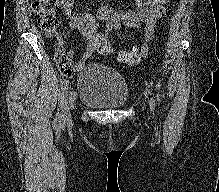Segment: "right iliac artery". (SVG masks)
I'll list each match as a JSON object with an SVG mask.
<instances>
[{"mask_svg":"<svg viewBox=\"0 0 219 192\" xmlns=\"http://www.w3.org/2000/svg\"><path fill=\"white\" fill-rule=\"evenodd\" d=\"M68 84H69V81L68 80H63L61 82V86H60V97H59V111L60 109L62 108V105H63V102H64V92L66 90V87H68ZM57 118L60 119L61 118V115L60 113L58 112L57 113Z\"/></svg>","mask_w":219,"mask_h":192,"instance_id":"right-iliac-artery-1","label":"right iliac artery"}]
</instances>
